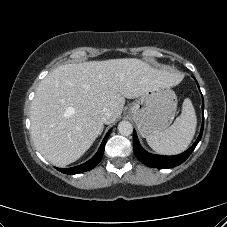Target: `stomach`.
<instances>
[{"label": "stomach", "instance_id": "1", "mask_svg": "<svg viewBox=\"0 0 227 227\" xmlns=\"http://www.w3.org/2000/svg\"><path fill=\"white\" fill-rule=\"evenodd\" d=\"M176 108L174 91L156 86L143 93L129 107L128 114L136 123L139 133L148 137L168 128L175 117Z\"/></svg>", "mask_w": 227, "mask_h": 227}]
</instances>
